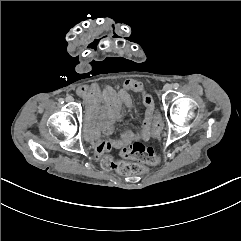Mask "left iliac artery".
Returning <instances> with one entry per match:
<instances>
[{
  "label": "left iliac artery",
  "instance_id": "left-iliac-artery-1",
  "mask_svg": "<svg viewBox=\"0 0 241 241\" xmlns=\"http://www.w3.org/2000/svg\"><path fill=\"white\" fill-rule=\"evenodd\" d=\"M173 88H174V89H178V88H179V84H178V83H174V84H173Z\"/></svg>",
  "mask_w": 241,
  "mask_h": 241
}]
</instances>
